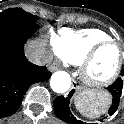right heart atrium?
I'll return each instance as SVG.
<instances>
[{
	"label": "right heart atrium",
	"instance_id": "d8ad5b80",
	"mask_svg": "<svg viewBox=\"0 0 124 124\" xmlns=\"http://www.w3.org/2000/svg\"><path fill=\"white\" fill-rule=\"evenodd\" d=\"M49 46H50L51 52L57 57H60L58 50H57V36H55L54 34H51L49 38Z\"/></svg>",
	"mask_w": 124,
	"mask_h": 124
}]
</instances>
